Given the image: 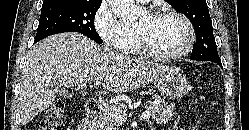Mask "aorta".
<instances>
[{
	"mask_svg": "<svg viewBox=\"0 0 249 130\" xmlns=\"http://www.w3.org/2000/svg\"><path fill=\"white\" fill-rule=\"evenodd\" d=\"M112 11L125 23H135L143 15L144 10L134 0H108Z\"/></svg>",
	"mask_w": 249,
	"mask_h": 130,
	"instance_id": "obj_1",
	"label": "aorta"
}]
</instances>
